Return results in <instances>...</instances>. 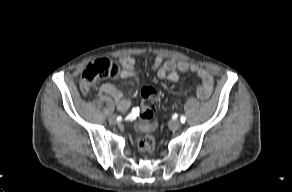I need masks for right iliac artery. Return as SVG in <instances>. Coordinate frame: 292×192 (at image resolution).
Listing matches in <instances>:
<instances>
[{
	"label": "right iliac artery",
	"mask_w": 292,
	"mask_h": 192,
	"mask_svg": "<svg viewBox=\"0 0 292 192\" xmlns=\"http://www.w3.org/2000/svg\"><path fill=\"white\" fill-rule=\"evenodd\" d=\"M138 115H139V108L137 107V108H134L132 110V112H130L129 114H127L125 117H128V120L127 121L134 122V121H136Z\"/></svg>",
	"instance_id": "1"
}]
</instances>
